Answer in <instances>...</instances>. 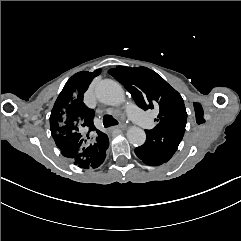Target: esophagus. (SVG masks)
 I'll return each mask as SVG.
<instances>
[{"mask_svg": "<svg viewBox=\"0 0 241 241\" xmlns=\"http://www.w3.org/2000/svg\"><path fill=\"white\" fill-rule=\"evenodd\" d=\"M126 127V125H119L117 126L118 129H124Z\"/></svg>", "mask_w": 241, "mask_h": 241, "instance_id": "obj_1", "label": "esophagus"}]
</instances>
